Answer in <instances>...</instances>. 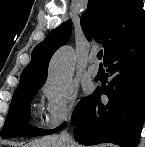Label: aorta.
I'll list each match as a JSON object with an SVG mask.
<instances>
[{
	"instance_id": "obj_1",
	"label": "aorta",
	"mask_w": 145,
	"mask_h": 147,
	"mask_svg": "<svg viewBox=\"0 0 145 147\" xmlns=\"http://www.w3.org/2000/svg\"><path fill=\"white\" fill-rule=\"evenodd\" d=\"M75 65V54L71 47L60 48L52 57L49 64V82L57 87H63L72 77Z\"/></svg>"
}]
</instances>
